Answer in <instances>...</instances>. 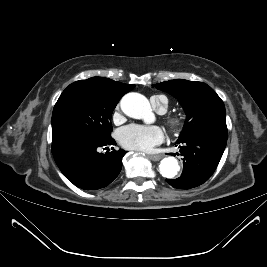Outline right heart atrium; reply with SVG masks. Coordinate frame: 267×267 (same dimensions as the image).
Instances as JSON below:
<instances>
[{"mask_svg": "<svg viewBox=\"0 0 267 267\" xmlns=\"http://www.w3.org/2000/svg\"><path fill=\"white\" fill-rule=\"evenodd\" d=\"M118 117H119V114H118V112L116 111V112L114 113V119L116 120V119H118Z\"/></svg>", "mask_w": 267, "mask_h": 267, "instance_id": "right-heart-atrium-1", "label": "right heart atrium"}]
</instances>
